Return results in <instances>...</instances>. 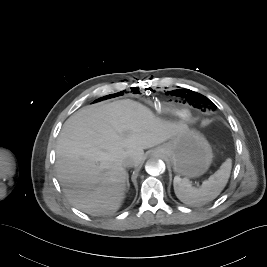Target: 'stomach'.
<instances>
[{
    "mask_svg": "<svg viewBox=\"0 0 267 267\" xmlns=\"http://www.w3.org/2000/svg\"><path fill=\"white\" fill-rule=\"evenodd\" d=\"M152 155L168 160L174 172L186 178L203 175L213 159L212 149L206 138L189 128L155 148Z\"/></svg>",
    "mask_w": 267,
    "mask_h": 267,
    "instance_id": "stomach-1",
    "label": "stomach"
}]
</instances>
